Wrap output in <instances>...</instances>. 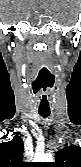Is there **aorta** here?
<instances>
[{
  "instance_id": "obj_1",
  "label": "aorta",
  "mask_w": 81,
  "mask_h": 167,
  "mask_svg": "<svg viewBox=\"0 0 81 167\" xmlns=\"http://www.w3.org/2000/svg\"><path fill=\"white\" fill-rule=\"evenodd\" d=\"M34 160L37 162H52L53 158L51 155L42 154V155H36Z\"/></svg>"
}]
</instances>
